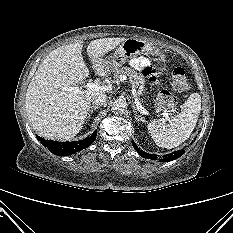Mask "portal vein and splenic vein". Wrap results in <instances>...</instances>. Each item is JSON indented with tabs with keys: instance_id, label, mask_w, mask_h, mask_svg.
Here are the masks:
<instances>
[{
	"instance_id": "portal-vein-and-splenic-vein-1",
	"label": "portal vein and splenic vein",
	"mask_w": 233,
	"mask_h": 233,
	"mask_svg": "<svg viewBox=\"0 0 233 233\" xmlns=\"http://www.w3.org/2000/svg\"><path fill=\"white\" fill-rule=\"evenodd\" d=\"M127 77L125 75L120 76V80L124 81L126 80ZM85 88L91 91H111L112 90V85H100L98 83H87L85 85ZM66 91H73L75 93H77L79 90H81L80 87L75 86V87H64L63 88ZM132 94L134 96V102L137 106V108L139 109V111H141V113L143 114H147V111L145 110V108L142 107L141 103L139 102L137 96H136V90L134 88H132ZM163 117H165L166 119L169 118V116L171 115L170 113L167 112H163L162 113Z\"/></svg>"
}]
</instances>
